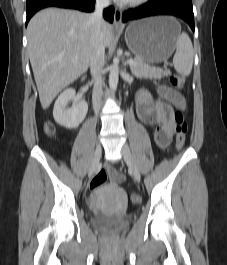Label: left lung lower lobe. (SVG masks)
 <instances>
[{
	"label": "left lung lower lobe",
	"instance_id": "1",
	"mask_svg": "<svg viewBox=\"0 0 227 265\" xmlns=\"http://www.w3.org/2000/svg\"><path fill=\"white\" fill-rule=\"evenodd\" d=\"M154 15H173L186 21L194 31L192 0H149L146 4L124 12L122 21Z\"/></svg>",
	"mask_w": 227,
	"mask_h": 265
}]
</instances>
